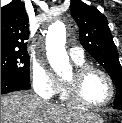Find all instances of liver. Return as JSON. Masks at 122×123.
<instances>
[{"mask_svg":"<svg viewBox=\"0 0 122 123\" xmlns=\"http://www.w3.org/2000/svg\"><path fill=\"white\" fill-rule=\"evenodd\" d=\"M87 112L61 107L31 92L1 96V123H79Z\"/></svg>","mask_w":122,"mask_h":123,"instance_id":"liver-1","label":"liver"}]
</instances>
